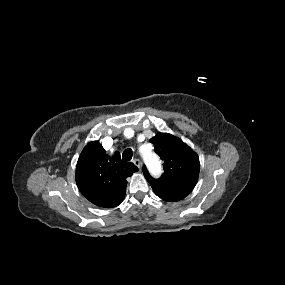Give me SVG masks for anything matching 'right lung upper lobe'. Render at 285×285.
<instances>
[{
    "label": "right lung upper lobe",
    "instance_id": "obj_1",
    "mask_svg": "<svg viewBox=\"0 0 285 285\" xmlns=\"http://www.w3.org/2000/svg\"><path fill=\"white\" fill-rule=\"evenodd\" d=\"M137 171L133 163L121 160L119 152L109 156L98 141H92L79 156L75 177L80 192L91 203L113 208L125 197L126 178Z\"/></svg>",
    "mask_w": 285,
    "mask_h": 285
}]
</instances>
